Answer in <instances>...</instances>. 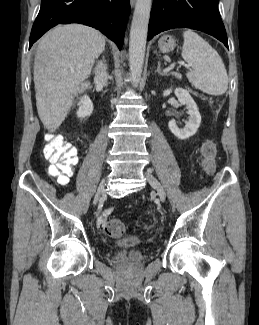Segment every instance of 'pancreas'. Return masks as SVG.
<instances>
[{"instance_id": "1", "label": "pancreas", "mask_w": 259, "mask_h": 325, "mask_svg": "<svg viewBox=\"0 0 259 325\" xmlns=\"http://www.w3.org/2000/svg\"><path fill=\"white\" fill-rule=\"evenodd\" d=\"M177 79H182V75L180 73H172Z\"/></svg>"}]
</instances>
